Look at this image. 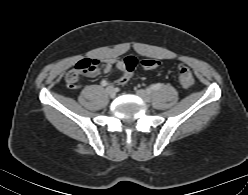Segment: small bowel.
I'll list each match as a JSON object with an SVG mask.
<instances>
[{
  "label": "small bowel",
  "instance_id": "obj_1",
  "mask_svg": "<svg viewBox=\"0 0 248 195\" xmlns=\"http://www.w3.org/2000/svg\"><path fill=\"white\" fill-rule=\"evenodd\" d=\"M116 68L124 76V67L120 58L94 59L90 64V70L86 73L88 77H95L101 73H107Z\"/></svg>",
  "mask_w": 248,
  "mask_h": 195
}]
</instances>
